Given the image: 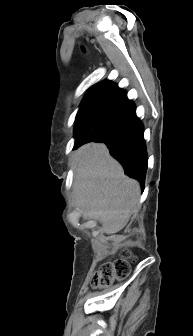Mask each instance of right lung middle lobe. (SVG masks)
I'll return each instance as SVG.
<instances>
[{
	"label": "right lung middle lobe",
	"mask_w": 193,
	"mask_h": 336,
	"mask_svg": "<svg viewBox=\"0 0 193 336\" xmlns=\"http://www.w3.org/2000/svg\"><path fill=\"white\" fill-rule=\"evenodd\" d=\"M113 110V108L107 109L94 120L83 121L79 125L76 124L74 128L75 137H83L88 140L95 138L103 130Z\"/></svg>",
	"instance_id": "dd1d6c3e"
}]
</instances>
